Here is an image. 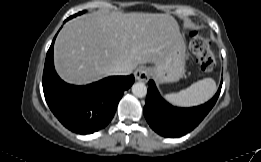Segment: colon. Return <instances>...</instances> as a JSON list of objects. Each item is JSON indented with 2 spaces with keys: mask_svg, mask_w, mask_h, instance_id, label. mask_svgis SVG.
<instances>
[{
  "mask_svg": "<svg viewBox=\"0 0 261 162\" xmlns=\"http://www.w3.org/2000/svg\"><path fill=\"white\" fill-rule=\"evenodd\" d=\"M190 48L196 55L198 64L203 71L210 72L215 68L216 60L210 42L205 37L192 34L190 36Z\"/></svg>",
  "mask_w": 261,
  "mask_h": 162,
  "instance_id": "obj_1",
  "label": "colon"
}]
</instances>
